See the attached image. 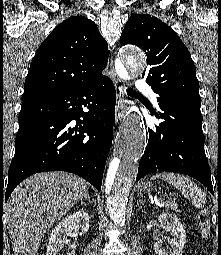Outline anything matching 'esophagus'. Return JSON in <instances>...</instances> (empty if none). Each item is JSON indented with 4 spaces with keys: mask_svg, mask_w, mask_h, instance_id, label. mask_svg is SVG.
<instances>
[{
    "mask_svg": "<svg viewBox=\"0 0 221 255\" xmlns=\"http://www.w3.org/2000/svg\"><path fill=\"white\" fill-rule=\"evenodd\" d=\"M110 70H111V75H112V79H113L115 90H116L115 115H116V123H118L124 118V114H125V104H124L125 86L123 81L119 79L115 74L112 58L110 60Z\"/></svg>",
    "mask_w": 221,
    "mask_h": 255,
    "instance_id": "1",
    "label": "esophagus"
}]
</instances>
